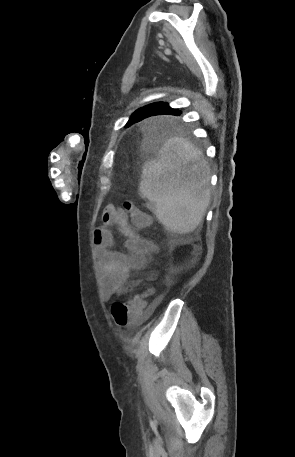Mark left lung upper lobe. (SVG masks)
<instances>
[{"label":"left lung upper lobe","mask_w":295,"mask_h":457,"mask_svg":"<svg viewBox=\"0 0 295 457\" xmlns=\"http://www.w3.org/2000/svg\"><path fill=\"white\" fill-rule=\"evenodd\" d=\"M160 103L161 102L152 103V104H149L147 106H144V107H141V108L137 109L131 115V117H130L129 121L127 122L126 126L128 127L133 123L139 122V121L143 120L144 118L150 117L153 108L156 105L160 104Z\"/></svg>","instance_id":"obj_1"}]
</instances>
